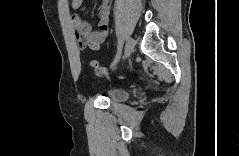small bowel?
I'll list each match as a JSON object with an SVG mask.
<instances>
[{"label": "small bowel", "mask_w": 239, "mask_h": 156, "mask_svg": "<svg viewBox=\"0 0 239 156\" xmlns=\"http://www.w3.org/2000/svg\"><path fill=\"white\" fill-rule=\"evenodd\" d=\"M71 7L74 10V13L71 15V24L78 46L81 49L87 47L99 49L100 45L103 44L108 37L109 15L112 3L106 0L98 8L99 22L97 30H93L91 24L85 21L81 16V12L85 8L83 0H73Z\"/></svg>", "instance_id": "obj_1"}]
</instances>
